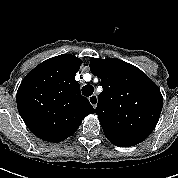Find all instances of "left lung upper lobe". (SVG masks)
<instances>
[{"mask_svg":"<svg viewBox=\"0 0 178 178\" xmlns=\"http://www.w3.org/2000/svg\"><path fill=\"white\" fill-rule=\"evenodd\" d=\"M90 70L103 87L96 114L106 138L120 147L144 141L163 107L157 85L139 68L116 58H91Z\"/></svg>","mask_w":178,"mask_h":178,"instance_id":"obj_1","label":"left lung upper lobe"}]
</instances>
